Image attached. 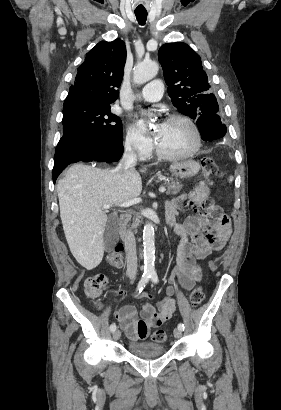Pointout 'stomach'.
<instances>
[{
    "mask_svg": "<svg viewBox=\"0 0 281 410\" xmlns=\"http://www.w3.org/2000/svg\"><path fill=\"white\" fill-rule=\"evenodd\" d=\"M200 170V164L194 160H185L173 163L170 171L173 176L178 178H190L195 176Z\"/></svg>",
    "mask_w": 281,
    "mask_h": 410,
    "instance_id": "stomach-1",
    "label": "stomach"
}]
</instances>
